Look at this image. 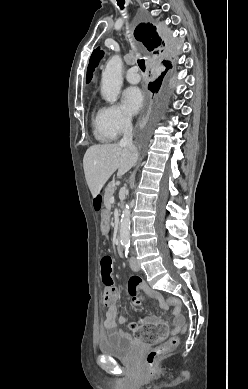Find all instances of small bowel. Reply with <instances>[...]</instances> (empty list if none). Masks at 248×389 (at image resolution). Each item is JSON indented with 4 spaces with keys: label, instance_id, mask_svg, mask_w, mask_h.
Returning <instances> with one entry per match:
<instances>
[{
    "label": "small bowel",
    "instance_id": "1",
    "mask_svg": "<svg viewBox=\"0 0 248 389\" xmlns=\"http://www.w3.org/2000/svg\"><path fill=\"white\" fill-rule=\"evenodd\" d=\"M145 277V274L143 272L140 273H132L131 277L128 278V281L130 282L128 284V293L131 297V301L135 307L141 306L143 302V296L146 295L152 299H156L161 303V306L163 309H167V306L164 304L163 296L158 292L150 288L147 283L143 280ZM114 290L117 293L118 298V290L116 287H107L105 291L107 290ZM105 321L103 324V331L104 336L118 333L125 337L130 338L128 333L122 329H117L118 324H123L126 321L125 316L117 314V309L115 306V302L107 305V310L105 313ZM156 317H151L149 321H155Z\"/></svg>",
    "mask_w": 248,
    "mask_h": 389
}]
</instances>
